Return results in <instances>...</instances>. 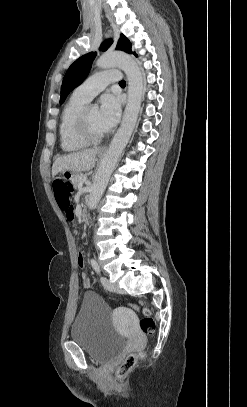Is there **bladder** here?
I'll return each instance as SVG.
<instances>
[{"label": "bladder", "mask_w": 247, "mask_h": 407, "mask_svg": "<svg viewBox=\"0 0 247 407\" xmlns=\"http://www.w3.org/2000/svg\"><path fill=\"white\" fill-rule=\"evenodd\" d=\"M71 340L95 361L114 359L125 347L126 337L112 323V309L96 293L85 292L71 328Z\"/></svg>", "instance_id": "bladder-1"}]
</instances>
